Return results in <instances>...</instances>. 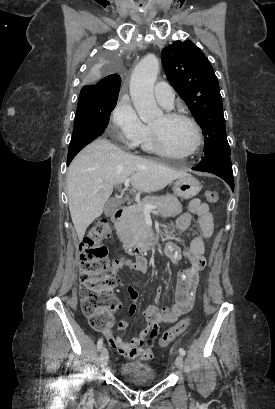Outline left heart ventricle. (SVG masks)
<instances>
[{
    "mask_svg": "<svg viewBox=\"0 0 275 409\" xmlns=\"http://www.w3.org/2000/svg\"><path fill=\"white\" fill-rule=\"evenodd\" d=\"M151 127L162 131L169 148L177 153L188 152L194 144V130L186 121L176 120L167 123L162 115L151 124Z\"/></svg>",
    "mask_w": 275,
    "mask_h": 409,
    "instance_id": "left-heart-ventricle-1",
    "label": "left heart ventricle"
}]
</instances>
